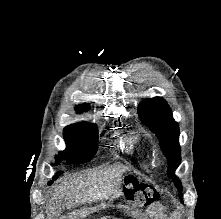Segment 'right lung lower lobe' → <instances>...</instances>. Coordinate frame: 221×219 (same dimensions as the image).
Returning <instances> with one entry per match:
<instances>
[{"instance_id": "98d812e1", "label": "right lung lower lobe", "mask_w": 221, "mask_h": 219, "mask_svg": "<svg viewBox=\"0 0 221 219\" xmlns=\"http://www.w3.org/2000/svg\"><path fill=\"white\" fill-rule=\"evenodd\" d=\"M60 174H61V172H58V173L56 174V176L53 178V180H55ZM50 184H52V181L49 182V185H50Z\"/></svg>"}]
</instances>
